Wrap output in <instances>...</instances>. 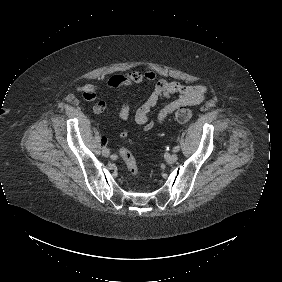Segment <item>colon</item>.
<instances>
[{
	"mask_svg": "<svg viewBox=\"0 0 282 282\" xmlns=\"http://www.w3.org/2000/svg\"><path fill=\"white\" fill-rule=\"evenodd\" d=\"M191 116H192V111L185 106L178 108L174 115L175 119L180 122L188 121L191 118ZM119 154L121 158L124 160L130 175L137 176L139 172V167L132 152L128 148H121L119 150Z\"/></svg>",
	"mask_w": 282,
	"mask_h": 282,
	"instance_id": "5ec220e1",
	"label": "colon"
}]
</instances>
